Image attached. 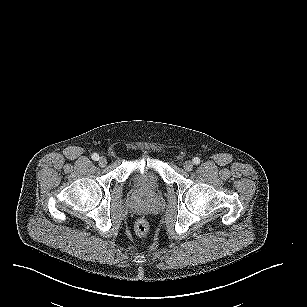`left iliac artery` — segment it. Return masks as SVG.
<instances>
[{"instance_id":"1","label":"left iliac artery","mask_w":307,"mask_h":307,"mask_svg":"<svg viewBox=\"0 0 307 307\" xmlns=\"http://www.w3.org/2000/svg\"><path fill=\"white\" fill-rule=\"evenodd\" d=\"M192 161H193V163H194V164H196V165H197V164H199V163H200V158L195 157V158H194Z\"/></svg>"}]
</instances>
